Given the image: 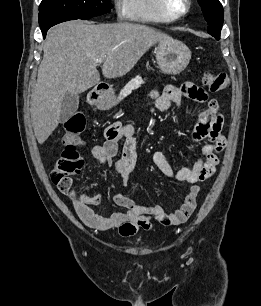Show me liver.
<instances>
[{"instance_id":"liver-1","label":"liver","mask_w":261,"mask_h":306,"mask_svg":"<svg viewBox=\"0 0 261 306\" xmlns=\"http://www.w3.org/2000/svg\"><path fill=\"white\" fill-rule=\"evenodd\" d=\"M170 36L134 23L93 25L68 21L53 27L43 43V60L31 99L34 134L43 144L60 121L66 93L79 94L100 82L97 59L106 78L126 75L157 42Z\"/></svg>"}]
</instances>
